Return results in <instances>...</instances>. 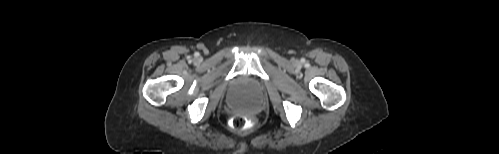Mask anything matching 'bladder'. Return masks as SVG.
<instances>
[{
    "mask_svg": "<svg viewBox=\"0 0 499 154\" xmlns=\"http://www.w3.org/2000/svg\"><path fill=\"white\" fill-rule=\"evenodd\" d=\"M254 84L251 82H243L239 85L236 95L231 98L232 105L239 110L252 111L256 108V103L247 95L254 89Z\"/></svg>",
    "mask_w": 499,
    "mask_h": 154,
    "instance_id": "bladder-1",
    "label": "bladder"
}]
</instances>
